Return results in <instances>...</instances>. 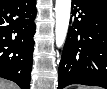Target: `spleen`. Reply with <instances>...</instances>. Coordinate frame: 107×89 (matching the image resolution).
Instances as JSON below:
<instances>
[{
  "instance_id": "obj_1",
  "label": "spleen",
  "mask_w": 107,
  "mask_h": 89,
  "mask_svg": "<svg viewBox=\"0 0 107 89\" xmlns=\"http://www.w3.org/2000/svg\"><path fill=\"white\" fill-rule=\"evenodd\" d=\"M78 89H83L82 87H79Z\"/></svg>"
}]
</instances>
